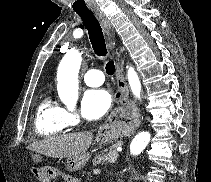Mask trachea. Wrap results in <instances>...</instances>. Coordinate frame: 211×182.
<instances>
[{
	"mask_svg": "<svg viewBox=\"0 0 211 182\" xmlns=\"http://www.w3.org/2000/svg\"><path fill=\"white\" fill-rule=\"evenodd\" d=\"M83 21L87 28L89 39L96 55L102 57L107 55V48L105 44L104 35L101 25L91 10L75 11ZM106 72L108 75H113L115 72V65L113 61L106 64Z\"/></svg>",
	"mask_w": 211,
	"mask_h": 182,
	"instance_id": "1",
	"label": "trachea"
}]
</instances>
